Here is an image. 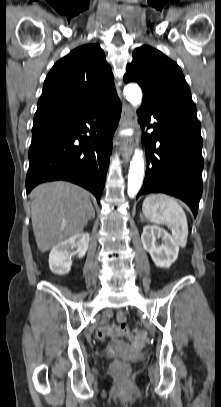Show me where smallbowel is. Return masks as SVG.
Listing matches in <instances>:
<instances>
[{"label": "small bowel", "mask_w": 221, "mask_h": 407, "mask_svg": "<svg viewBox=\"0 0 221 407\" xmlns=\"http://www.w3.org/2000/svg\"><path fill=\"white\" fill-rule=\"evenodd\" d=\"M111 317H112V314H111L110 312H106V313L104 314V316H103V320H104V321H108V320L111 319Z\"/></svg>", "instance_id": "c3829d8e"}]
</instances>
